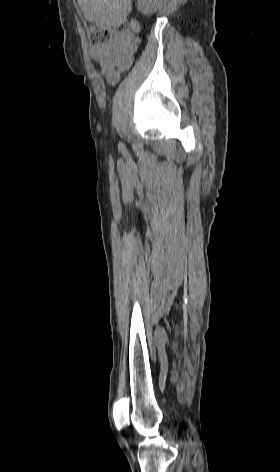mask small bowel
Listing matches in <instances>:
<instances>
[{
  "label": "small bowel",
  "mask_w": 280,
  "mask_h": 472,
  "mask_svg": "<svg viewBox=\"0 0 280 472\" xmlns=\"http://www.w3.org/2000/svg\"><path fill=\"white\" fill-rule=\"evenodd\" d=\"M140 32V25L136 20L131 21V32L113 39L104 46H93L91 56L101 66V72L106 81L113 85L120 79V72L130 67L133 61V55L137 49ZM127 59L129 65L126 68H120L119 63Z\"/></svg>",
  "instance_id": "small-bowel-1"
}]
</instances>
